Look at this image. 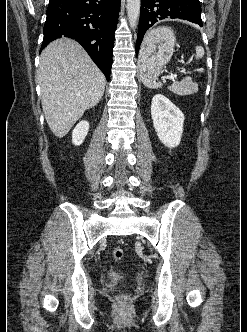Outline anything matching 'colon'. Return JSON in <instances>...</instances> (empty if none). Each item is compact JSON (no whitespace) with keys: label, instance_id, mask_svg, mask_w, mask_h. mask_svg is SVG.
Segmentation results:
<instances>
[{"label":"colon","instance_id":"5ec220e1","mask_svg":"<svg viewBox=\"0 0 247 332\" xmlns=\"http://www.w3.org/2000/svg\"><path fill=\"white\" fill-rule=\"evenodd\" d=\"M112 255L114 257V259L116 260H121L124 256V250L121 248V247H115L113 250H112ZM117 300L120 302V303H127L128 300H129V296L128 294L126 293H120L118 296H117Z\"/></svg>","mask_w":247,"mask_h":332}]
</instances>
